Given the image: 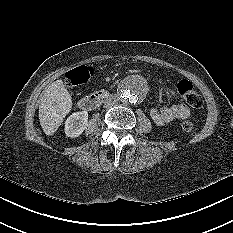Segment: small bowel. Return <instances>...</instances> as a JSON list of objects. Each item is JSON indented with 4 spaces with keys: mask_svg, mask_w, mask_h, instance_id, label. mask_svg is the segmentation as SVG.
Wrapping results in <instances>:
<instances>
[{
    "mask_svg": "<svg viewBox=\"0 0 233 233\" xmlns=\"http://www.w3.org/2000/svg\"><path fill=\"white\" fill-rule=\"evenodd\" d=\"M150 115L156 125L164 126L176 120L186 119L190 115V110L184 103H177L170 106L152 108Z\"/></svg>",
    "mask_w": 233,
    "mask_h": 233,
    "instance_id": "1",
    "label": "small bowel"
}]
</instances>
